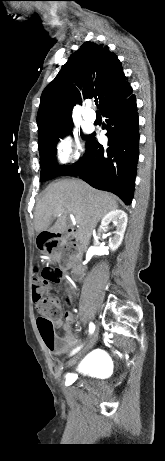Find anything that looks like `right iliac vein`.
Listing matches in <instances>:
<instances>
[{"label":"right iliac vein","mask_w":165,"mask_h":461,"mask_svg":"<svg viewBox=\"0 0 165 461\" xmlns=\"http://www.w3.org/2000/svg\"><path fill=\"white\" fill-rule=\"evenodd\" d=\"M97 338H98V332L95 330L86 346V348L82 351V354H84L85 352H87L88 350H90L96 343L97 341ZM81 356V354L79 356H76L74 358H72L69 362H68V365L69 366H72L73 364L76 363V361L78 360V358Z\"/></svg>","instance_id":"right-iliac-vein-1"}]
</instances>
